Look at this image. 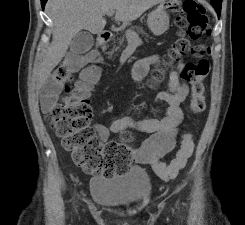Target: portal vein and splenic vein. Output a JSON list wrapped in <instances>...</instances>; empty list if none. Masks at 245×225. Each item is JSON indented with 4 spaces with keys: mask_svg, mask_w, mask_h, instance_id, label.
Segmentation results:
<instances>
[{
    "mask_svg": "<svg viewBox=\"0 0 245 225\" xmlns=\"http://www.w3.org/2000/svg\"><path fill=\"white\" fill-rule=\"evenodd\" d=\"M106 14L108 16H112L114 14V11H109ZM126 38L130 43H135L137 45H140L142 43V40L139 38L138 34L132 30L126 31Z\"/></svg>",
    "mask_w": 245,
    "mask_h": 225,
    "instance_id": "1",
    "label": "portal vein and splenic vein"
}]
</instances>
